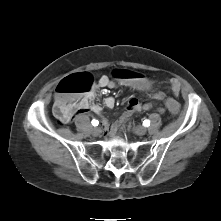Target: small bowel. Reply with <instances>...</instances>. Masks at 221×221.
Returning a JSON list of instances; mask_svg holds the SVG:
<instances>
[{
	"mask_svg": "<svg viewBox=\"0 0 221 221\" xmlns=\"http://www.w3.org/2000/svg\"><path fill=\"white\" fill-rule=\"evenodd\" d=\"M172 95L170 99H175L179 96L181 85L178 80L176 79H170L169 81ZM125 85V84H124ZM116 87V83L109 80V78L106 75H102L98 78V80L95 82L94 87L85 93L83 96L78 98L75 103H74V114H86V113H94L96 115H101L102 113V107L96 103H94L95 99V89L96 88H114ZM158 96H163L164 101H167V96L166 93L163 90H158L155 93V98L157 99ZM144 98L145 99H150L151 98V93L150 92H145L144 93ZM143 99V94L142 93H137L136 98L132 97L128 100L127 106L125 110L122 112V114L119 116V118L112 122L109 123L106 119H103V125L105 128L109 131V133H113L117 130L119 121L121 120L122 117L132 114V110L135 109L137 106H141L142 103H140L138 100ZM104 104L107 108H113L115 105V100L113 97H107L104 101ZM151 104V103H150ZM152 108V107H151ZM168 111H170L168 108H166ZM165 109L160 108L159 111L163 112Z\"/></svg>",
	"mask_w": 221,
	"mask_h": 221,
	"instance_id": "obj_1",
	"label": "small bowel"
}]
</instances>
